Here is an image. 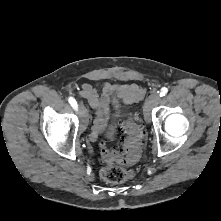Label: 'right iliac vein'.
I'll return each instance as SVG.
<instances>
[{"mask_svg": "<svg viewBox=\"0 0 221 221\" xmlns=\"http://www.w3.org/2000/svg\"><path fill=\"white\" fill-rule=\"evenodd\" d=\"M79 114L81 117L80 129L84 131L88 124V112L82 104L79 105Z\"/></svg>", "mask_w": 221, "mask_h": 221, "instance_id": "1", "label": "right iliac vein"}]
</instances>
